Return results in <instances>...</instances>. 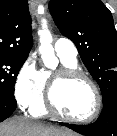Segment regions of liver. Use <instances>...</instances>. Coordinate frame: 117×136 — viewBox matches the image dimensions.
Here are the masks:
<instances>
[{"mask_svg": "<svg viewBox=\"0 0 117 136\" xmlns=\"http://www.w3.org/2000/svg\"><path fill=\"white\" fill-rule=\"evenodd\" d=\"M0 136H75V134L69 130L46 127L15 117L0 123Z\"/></svg>", "mask_w": 117, "mask_h": 136, "instance_id": "1", "label": "liver"}]
</instances>
